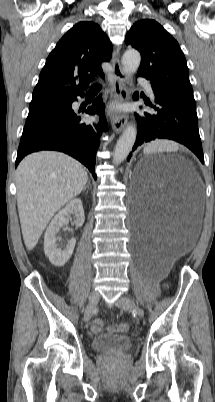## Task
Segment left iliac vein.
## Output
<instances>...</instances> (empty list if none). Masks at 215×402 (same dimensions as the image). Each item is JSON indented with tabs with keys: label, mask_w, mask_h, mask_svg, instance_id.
I'll return each instance as SVG.
<instances>
[{
	"label": "left iliac vein",
	"mask_w": 215,
	"mask_h": 402,
	"mask_svg": "<svg viewBox=\"0 0 215 402\" xmlns=\"http://www.w3.org/2000/svg\"><path fill=\"white\" fill-rule=\"evenodd\" d=\"M116 305L124 311H133L138 317H144V311L142 308L137 306L135 302L126 296H120L116 301Z\"/></svg>",
	"instance_id": "obj_1"
}]
</instances>
